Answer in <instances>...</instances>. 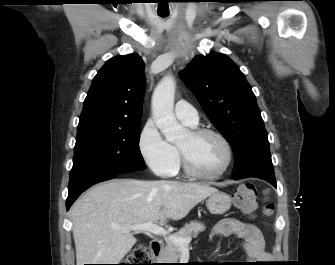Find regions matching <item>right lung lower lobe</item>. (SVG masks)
Wrapping results in <instances>:
<instances>
[{
    "label": "right lung lower lobe",
    "instance_id": "98d812e1",
    "mask_svg": "<svg viewBox=\"0 0 335 265\" xmlns=\"http://www.w3.org/2000/svg\"><path fill=\"white\" fill-rule=\"evenodd\" d=\"M117 172L100 171L88 174L75 182L69 184L68 198L66 201V208L69 210L74 201L90 186L114 178Z\"/></svg>",
    "mask_w": 335,
    "mask_h": 265
}]
</instances>
